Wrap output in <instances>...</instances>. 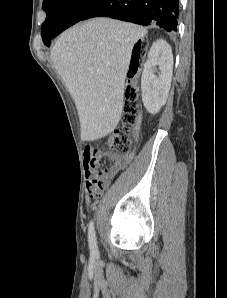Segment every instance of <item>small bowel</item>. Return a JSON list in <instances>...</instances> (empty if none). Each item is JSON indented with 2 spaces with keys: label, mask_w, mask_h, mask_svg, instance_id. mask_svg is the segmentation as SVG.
Wrapping results in <instances>:
<instances>
[{
  "label": "small bowel",
  "mask_w": 227,
  "mask_h": 298,
  "mask_svg": "<svg viewBox=\"0 0 227 298\" xmlns=\"http://www.w3.org/2000/svg\"><path fill=\"white\" fill-rule=\"evenodd\" d=\"M137 128L138 124L136 125L135 133ZM103 156H108L113 161V165L99 171V159ZM130 159V155L102 152L99 150V146H87V150L84 151V165L86 168L87 187L90 193L93 191L92 183L98 181V193L100 195L107 187L109 180L120 170L124 169L130 162Z\"/></svg>",
  "instance_id": "small-bowel-1"
}]
</instances>
